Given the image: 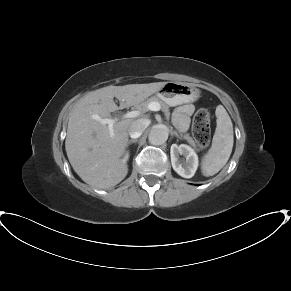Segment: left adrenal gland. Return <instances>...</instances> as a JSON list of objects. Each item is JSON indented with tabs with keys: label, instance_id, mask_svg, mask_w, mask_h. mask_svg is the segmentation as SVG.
<instances>
[{
	"label": "left adrenal gland",
	"instance_id": "a2214340",
	"mask_svg": "<svg viewBox=\"0 0 291 291\" xmlns=\"http://www.w3.org/2000/svg\"><path fill=\"white\" fill-rule=\"evenodd\" d=\"M173 134H174L176 137L180 138V136L177 134V132L174 131Z\"/></svg>",
	"mask_w": 291,
	"mask_h": 291
}]
</instances>
